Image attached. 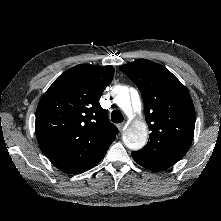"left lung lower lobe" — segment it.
<instances>
[{
	"label": "left lung lower lobe",
	"instance_id": "obj_1",
	"mask_svg": "<svg viewBox=\"0 0 221 221\" xmlns=\"http://www.w3.org/2000/svg\"><path fill=\"white\" fill-rule=\"evenodd\" d=\"M133 159L141 166L149 169V170H153V171H162L165 170L167 168H169L170 166H167L165 164L156 162V161H152V160H148L146 158H142L137 156L136 154H134L133 152L131 153Z\"/></svg>",
	"mask_w": 221,
	"mask_h": 221
}]
</instances>
